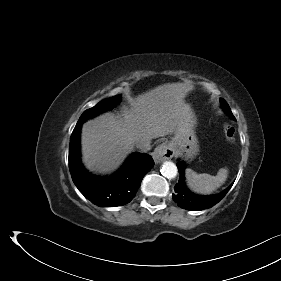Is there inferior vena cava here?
Segmentation results:
<instances>
[{
    "instance_id": "602c4592",
    "label": "inferior vena cava",
    "mask_w": 281,
    "mask_h": 281,
    "mask_svg": "<svg viewBox=\"0 0 281 281\" xmlns=\"http://www.w3.org/2000/svg\"><path fill=\"white\" fill-rule=\"evenodd\" d=\"M136 147L140 152L145 153L151 149V141L142 139L137 142Z\"/></svg>"
}]
</instances>
